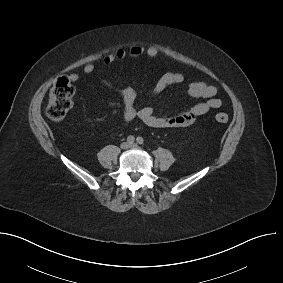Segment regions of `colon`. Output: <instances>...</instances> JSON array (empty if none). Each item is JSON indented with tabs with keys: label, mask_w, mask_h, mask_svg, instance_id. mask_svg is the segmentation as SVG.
<instances>
[{
	"label": "colon",
	"mask_w": 283,
	"mask_h": 283,
	"mask_svg": "<svg viewBox=\"0 0 283 283\" xmlns=\"http://www.w3.org/2000/svg\"><path fill=\"white\" fill-rule=\"evenodd\" d=\"M75 89L67 78L58 79L52 86L49 92L48 102L45 106L46 116L55 122L63 120L69 109L73 105ZM215 119L219 123H227L229 120L228 114L219 112Z\"/></svg>",
	"instance_id": "5ec220e1"
}]
</instances>
